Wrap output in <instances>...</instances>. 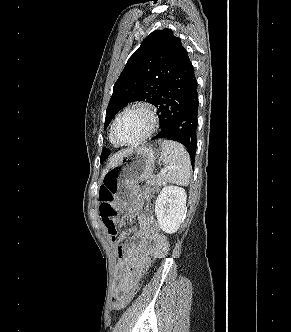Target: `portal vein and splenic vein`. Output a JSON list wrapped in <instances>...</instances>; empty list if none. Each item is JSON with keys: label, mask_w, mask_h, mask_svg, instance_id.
Masks as SVG:
<instances>
[{"label": "portal vein and splenic vein", "mask_w": 291, "mask_h": 332, "mask_svg": "<svg viewBox=\"0 0 291 332\" xmlns=\"http://www.w3.org/2000/svg\"><path fill=\"white\" fill-rule=\"evenodd\" d=\"M167 171H168V168H162V169L160 170V174L163 175V174H165Z\"/></svg>", "instance_id": "portal-vein-and-splenic-vein-1"}]
</instances>
